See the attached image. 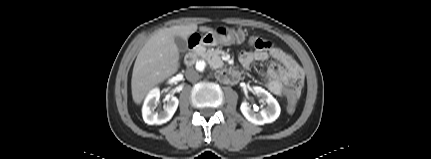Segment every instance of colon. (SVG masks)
<instances>
[{"label":"colon","mask_w":431,"mask_h":159,"mask_svg":"<svg viewBox=\"0 0 431 159\" xmlns=\"http://www.w3.org/2000/svg\"><path fill=\"white\" fill-rule=\"evenodd\" d=\"M256 41H257V38L255 36H250L249 40L246 41V46L248 48H251V47H253L256 44ZM284 99H285L286 102H288L287 111L289 113H293L295 111V109H296V105L293 104V95L290 98H289V95H285Z\"/></svg>","instance_id":"1"}]
</instances>
